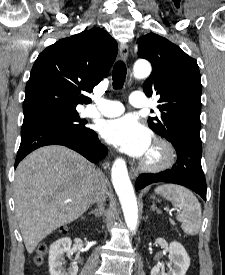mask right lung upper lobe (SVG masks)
Instances as JSON below:
<instances>
[{
	"mask_svg": "<svg viewBox=\"0 0 225 275\" xmlns=\"http://www.w3.org/2000/svg\"><path fill=\"white\" fill-rule=\"evenodd\" d=\"M117 42L93 28L47 47L36 59L25 89L24 116L47 111H72L90 103L91 92L111 68Z\"/></svg>",
	"mask_w": 225,
	"mask_h": 275,
	"instance_id": "cb5924a9",
	"label": "right lung upper lobe"
}]
</instances>
